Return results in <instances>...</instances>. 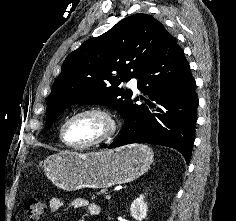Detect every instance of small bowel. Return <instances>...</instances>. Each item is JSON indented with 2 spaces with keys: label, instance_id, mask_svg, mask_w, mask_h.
<instances>
[{
  "label": "small bowel",
  "instance_id": "obj_1",
  "mask_svg": "<svg viewBox=\"0 0 236 221\" xmlns=\"http://www.w3.org/2000/svg\"><path fill=\"white\" fill-rule=\"evenodd\" d=\"M70 206L72 208H84L91 216H98L101 213V207L99 204L90 202L85 198L79 197L71 201ZM64 207V200L60 197H52L49 201V208L52 212H58Z\"/></svg>",
  "mask_w": 236,
  "mask_h": 221
}]
</instances>
